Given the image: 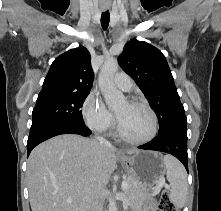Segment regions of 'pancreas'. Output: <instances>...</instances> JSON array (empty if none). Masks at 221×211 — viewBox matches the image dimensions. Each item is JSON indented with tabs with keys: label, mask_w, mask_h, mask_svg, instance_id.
Listing matches in <instances>:
<instances>
[{
	"label": "pancreas",
	"mask_w": 221,
	"mask_h": 211,
	"mask_svg": "<svg viewBox=\"0 0 221 211\" xmlns=\"http://www.w3.org/2000/svg\"><path fill=\"white\" fill-rule=\"evenodd\" d=\"M128 188L125 191V196L129 201V206L132 210L137 207L145 206L150 202V193L144 192L142 186L131 179L130 177L127 179ZM158 192H153V195H156Z\"/></svg>",
	"instance_id": "cf45deb5"
}]
</instances>
